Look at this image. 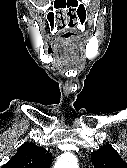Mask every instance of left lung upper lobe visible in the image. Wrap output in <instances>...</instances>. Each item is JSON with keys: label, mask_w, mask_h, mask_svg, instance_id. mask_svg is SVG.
Segmentation results:
<instances>
[{"label": "left lung upper lobe", "mask_w": 127, "mask_h": 168, "mask_svg": "<svg viewBox=\"0 0 127 168\" xmlns=\"http://www.w3.org/2000/svg\"><path fill=\"white\" fill-rule=\"evenodd\" d=\"M94 168H127V164L110 144L92 152Z\"/></svg>", "instance_id": "5c2ea615"}]
</instances>
